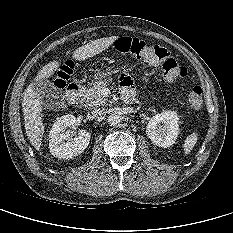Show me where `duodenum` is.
I'll return each instance as SVG.
<instances>
[{
	"instance_id": "obj_1",
	"label": "duodenum",
	"mask_w": 233,
	"mask_h": 233,
	"mask_svg": "<svg viewBox=\"0 0 233 233\" xmlns=\"http://www.w3.org/2000/svg\"><path fill=\"white\" fill-rule=\"evenodd\" d=\"M80 93H81V85L77 83H70L66 90V96L69 103L71 104L77 103Z\"/></svg>"
}]
</instances>
